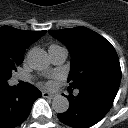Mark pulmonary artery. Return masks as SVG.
<instances>
[{"instance_id": "obj_1", "label": "pulmonary artery", "mask_w": 128, "mask_h": 128, "mask_svg": "<svg viewBox=\"0 0 128 128\" xmlns=\"http://www.w3.org/2000/svg\"><path fill=\"white\" fill-rule=\"evenodd\" d=\"M49 55L53 64L60 65L65 62L68 56V52L65 48L58 46V47L49 49ZM77 93H78V90L76 91V94Z\"/></svg>"}]
</instances>
